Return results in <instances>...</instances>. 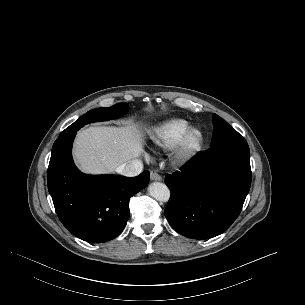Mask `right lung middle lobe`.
<instances>
[{
	"label": "right lung middle lobe",
	"instance_id": "dd1d6c3e",
	"mask_svg": "<svg viewBox=\"0 0 305 305\" xmlns=\"http://www.w3.org/2000/svg\"><path fill=\"white\" fill-rule=\"evenodd\" d=\"M128 107L129 105L127 103H120L108 108L93 109L81 116L77 121H75L72 125L66 128L62 133H69L75 128L80 129L84 125L91 122L104 121L121 117L127 113Z\"/></svg>",
	"mask_w": 305,
	"mask_h": 305
}]
</instances>
